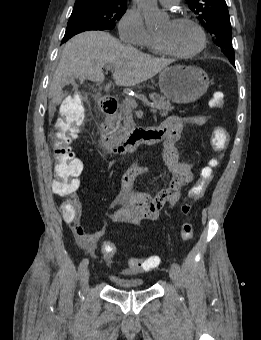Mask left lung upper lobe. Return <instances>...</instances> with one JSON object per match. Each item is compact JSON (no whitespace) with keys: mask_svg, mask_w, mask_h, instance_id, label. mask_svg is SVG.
Segmentation results:
<instances>
[{"mask_svg":"<svg viewBox=\"0 0 261 340\" xmlns=\"http://www.w3.org/2000/svg\"><path fill=\"white\" fill-rule=\"evenodd\" d=\"M212 39L229 60L234 61L232 29L225 0H186Z\"/></svg>","mask_w":261,"mask_h":340,"instance_id":"left-lung-upper-lobe-1","label":"left lung upper lobe"}]
</instances>
